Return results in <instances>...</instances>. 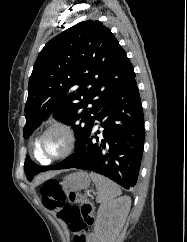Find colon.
Here are the masks:
<instances>
[{"mask_svg":"<svg viewBox=\"0 0 187 242\" xmlns=\"http://www.w3.org/2000/svg\"><path fill=\"white\" fill-rule=\"evenodd\" d=\"M44 206L56 213L72 233V242H94L89 227L94 223V205L84 195L68 190L58 180H49L41 187Z\"/></svg>","mask_w":187,"mask_h":242,"instance_id":"5ec220e1","label":"colon"}]
</instances>
